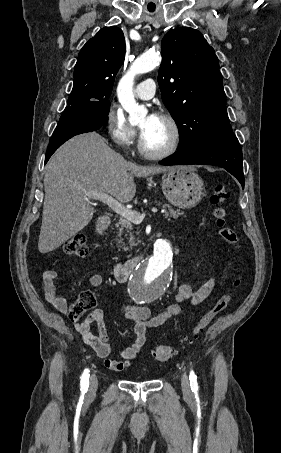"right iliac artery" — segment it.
<instances>
[{"label": "right iliac artery", "mask_w": 281, "mask_h": 453, "mask_svg": "<svg viewBox=\"0 0 281 453\" xmlns=\"http://www.w3.org/2000/svg\"><path fill=\"white\" fill-rule=\"evenodd\" d=\"M89 372L90 370L85 369L82 376H81V381H80V390L85 392L88 389L89 386Z\"/></svg>", "instance_id": "82829eb1"}]
</instances>
